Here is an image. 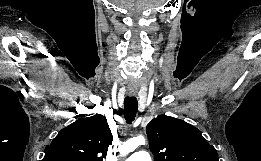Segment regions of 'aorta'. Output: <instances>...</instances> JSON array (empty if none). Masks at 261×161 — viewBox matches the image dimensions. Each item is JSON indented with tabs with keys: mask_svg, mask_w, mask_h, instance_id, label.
Returning a JSON list of instances; mask_svg holds the SVG:
<instances>
[{
	"mask_svg": "<svg viewBox=\"0 0 261 161\" xmlns=\"http://www.w3.org/2000/svg\"><path fill=\"white\" fill-rule=\"evenodd\" d=\"M145 139L143 136H137L129 139L123 145L119 147V152L122 156H126L128 153L133 152L139 145H144Z\"/></svg>",
	"mask_w": 261,
	"mask_h": 161,
	"instance_id": "aorta-1",
	"label": "aorta"
}]
</instances>
